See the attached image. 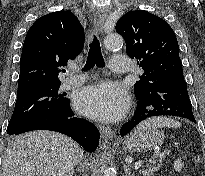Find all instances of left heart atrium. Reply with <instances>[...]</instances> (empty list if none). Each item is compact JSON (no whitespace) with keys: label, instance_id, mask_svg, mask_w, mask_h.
<instances>
[{"label":"left heart atrium","instance_id":"obj_1","mask_svg":"<svg viewBox=\"0 0 205 176\" xmlns=\"http://www.w3.org/2000/svg\"><path fill=\"white\" fill-rule=\"evenodd\" d=\"M74 104L84 115L103 121H114L126 111L129 99L119 85L103 82L79 91Z\"/></svg>","mask_w":205,"mask_h":176}]
</instances>
